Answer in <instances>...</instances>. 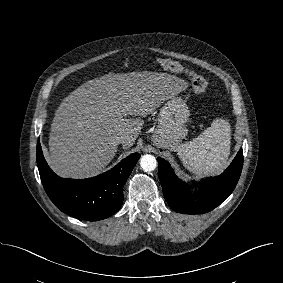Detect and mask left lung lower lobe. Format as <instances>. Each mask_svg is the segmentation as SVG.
Segmentation results:
<instances>
[{
	"label": "left lung lower lobe",
	"instance_id": "left-lung-lower-lobe-1",
	"mask_svg": "<svg viewBox=\"0 0 283 283\" xmlns=\"http://www.w3.org/2000/svg\"><path fill=\"white\" fill-rule=\"evenodd\" d=\"M243 166V151L239 150L229 167L218 177L207 178L196 193L176 177L170 164L158 157V176L163 195L169 206L178 213L204 214L220 205L234 190ZM194 186V185H193Z\"/></svg>",
	"mask_w": 283,
	"mask_h": 283
}]
</instances>
